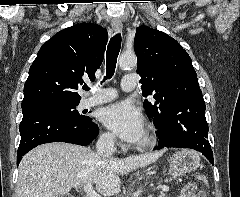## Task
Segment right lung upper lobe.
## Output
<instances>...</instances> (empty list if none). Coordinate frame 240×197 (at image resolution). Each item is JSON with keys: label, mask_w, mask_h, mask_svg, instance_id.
<instances>
[{"label": "right lung upper lobe", "mask_w": 240, "mask_h": 197, "mask_svg": "<svg viewBox=\"0 0 240 197\" xmlns=\"http://www.w3.org/2000/svg\"><path fill=\"white\" fill-rule=\"evenodd\" d=\"M108 41L105 28L80 23L63 29L45 42L29 69L22 109L48 102L80 101L83 77L95 78Z\"/></svg>", "instance_id": "1"}]
</instances>
